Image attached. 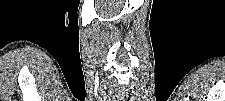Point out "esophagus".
I'll list each match as a JSON object with an SVG mask.
<instances>
[{
	"instance_id": "34e87169",
	"label": "esophagus",
	"mask_w": 225,
	"mask_h": 101,
	"mask_svg": "<svg viewBox=\"0 0 225 101\" xmlns=\"http://www.w3.org/2000/svg\"><path fill=\"white\" fill-rule=\"evenodd\" d=\"M119 99H120V100H124V96H121Z\"/></svg>"
}]
</instances>
